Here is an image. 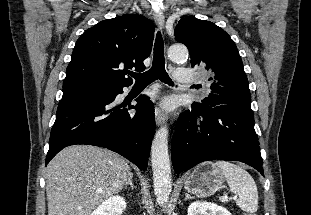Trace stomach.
I'll return each mask as SVG.
<instances>
[{
    "mask_svg": "<svg viewBox=\"0 0 311 215\" xmlns=\"http://www.w3.org/2000/svg\"><path fill=\"white\" fill-rule=\"evenodd\" d=\"M222 172L214 167L212 162L202 163L197 166L184 182L185 189L204 198L215 194L223 185Z\"/></svg>",
    "mask_w": 311,
    "mask_h": 215,
    "instance_id": "0dacf381",
    "label": "stomach"
}]
</instances>
